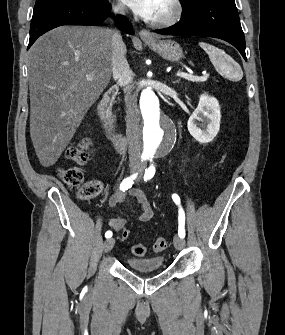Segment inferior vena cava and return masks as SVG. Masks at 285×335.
Returning a JSON list of instances; mask_svg holds the SVG:
<instances>
[{"mask_svg":"<svg viewBox=\"0 0 285 335\" xmlns=\"http://www.w3.org/2000/svg\"><path fill=\"white\" fill-rule=\"evenodd\" d=\"M124 4L113 6L115 14H125ZM112 34V72L119 76V82L123 86L126 104L127 140L130 158L139 160L138 130L140 116L137 108L136 92L133 86V72H131L125 58L126 46L122 42V36L117 30H109Z\"/></svg>","mask_w":285,"mask_h":335,"instance_id":"1","label":"inferior vena cava"}]
</instances>
